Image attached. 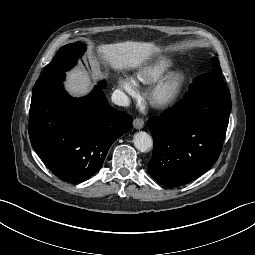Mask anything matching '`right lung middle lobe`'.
<instances>
[{"instance_id": "dd1d6c3e", "label": "right lung middle lobe", "mask_w": 255, "mask_h": 255, "mask_svg": "<svg viewBox=\"0 0 255 255\" xmlns=\"http://www.w3.org/2000/svg\"><path fill=\"white\" fill-rule=\"evenodd\" d=\"M85 51V46L80 42L74 44H67L61 47L53 60L46 66L44 73L55 72V71H67L73 67L78 57L82 56ZM101 87H105V81L100 83Z\"/></svg>"}]
</instances>
